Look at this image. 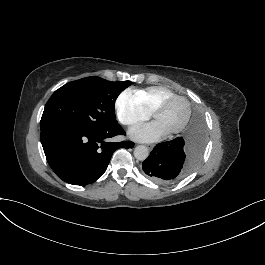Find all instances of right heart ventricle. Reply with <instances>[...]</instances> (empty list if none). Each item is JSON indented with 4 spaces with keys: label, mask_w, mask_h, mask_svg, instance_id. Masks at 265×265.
I'll return each instance as SVG.
<instances>
[{
    "label": "right heart ventricle",
    "mask_w": 265,
    "mask_h": 265,
    "mask_svg": "<svg viewBox=\"0 0 265 265\" xmlns=\"http://www.w3.org/2000/svg\"><path fill=\"white\" fill-rule=\"evenodd\" d=\"M134 94L152 112L153 107L159 100L173 93L164 86H153L142 90H135Z\"/></svg>",
    "instance_id": "1"
}]
</instances>
